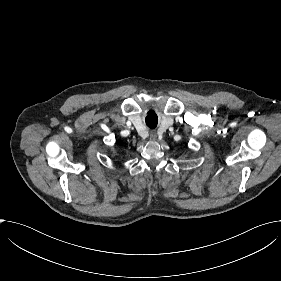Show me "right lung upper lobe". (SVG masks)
<instances>
[{
    "label": "right lung upper lobe",
    "mask_w": 281,
    "mask_h": 281,
    "mask_svg": "<svg viewBox=\"0 0 281 281\" xmlns=\"http://www.w3.org/2000/svg\"><path fill=\"white\" fill-rule=\"evenodd\" d=\"M118 144H119V145H122V143H121V142H118Z\"/></svg>",
    "instance_id": "1"
}]
</instances>
